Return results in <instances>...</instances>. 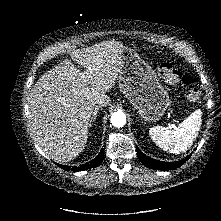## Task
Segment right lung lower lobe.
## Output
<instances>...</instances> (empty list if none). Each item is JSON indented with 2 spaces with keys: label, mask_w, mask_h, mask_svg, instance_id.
I'll list each match as a JSON object with an SVG mask.
<instances>
[{
  "label": "right lung lower lobe",
  "mask_w": 221,
  "mask_h": 221,
  "mask_svg": "<svg viewBox=\"0 0 221 221\" xmlns=\"http://www.w3.org/2000/svg\"><path fill=\"white\" fill-rule=\"evenodd\" d=\"M103 158H104V150L102 149L100 151L99 155L96 158H94L93 160H91L89 163L80 165L79 167H76V166L72 167V170L73 171H83V170H87V169L96 167L102 162ZM60 167L64 170H70V166L61 165Z\"/></svg>",
  "instance_id": "obj_1"
}]
</instances>
